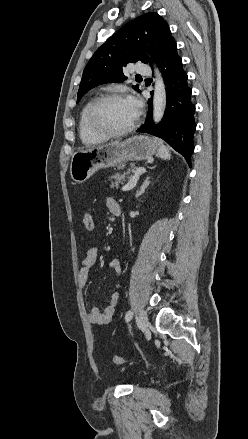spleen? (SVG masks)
<instances>
[{
  "mask_svg": "<svg viewBox=\"0 0 248 439\" xmlns=\"http://www.w3.org/2000/svg\"><path fill=\"white\" fill-rule=\"evenodd\" d=\"M159 157L164 159V160H168L171 157L169 149L167 147H165L164 145L161 146V148L159 150Z\"/></svg>",
  "mask_w": 248,
  "mask_h": 439,
  "instance_id": "obj_1",
  "label": "spleen"
}]
</instances>
